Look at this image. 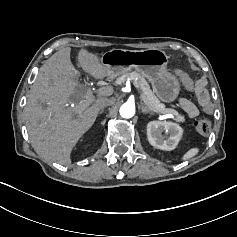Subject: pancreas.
Here are the masks:
<instances>
[{
	"instance_id": "1",
	"label": "pancreas",
	"mask_w": 237,
	"mask_h": 237,
	"mask_svg": "<svg viewBox=\"0 0 237 237\" xmlns=\"http://www.w3.org/2000/svg\"><path fill=\"white\" fill-rule=\"evenodd\" d=\"M122 77L124 79L133 80L139 86L141 92L146 96V100H148L149 102L153 103L156 107H158L159 109H168V108H165V105L163 103H161L160 100L156 97V95L150 89L149 83L146 81V79L142 75H140L139 73L133 71V72H130V73H125ZM143 101L145 102V100H143ZM146 106L148 108L147 104H146ZM148 109L150 111H152V112H156L154 110H151L150 108H148ZM156 113H158V112H156ZM161 113L162 114H167L169 112H161ZM178 115L180 117H182V120H178L176 117H175V120L178 121V122H183L184 121V117L181 116L179 113H178Z\"/></svg>"
}]
</instances>
